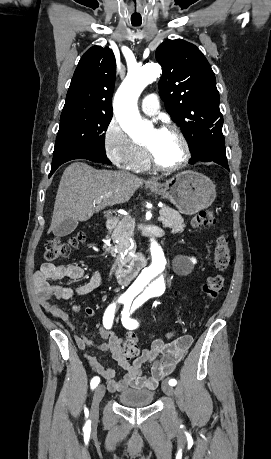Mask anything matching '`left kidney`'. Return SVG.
<instances>
[{
  "instance_id": "obj_1",
  "label": "left kidney",
  "mask_w": 271,
  "mask_h": 459,
  "mask_svg": "<svg viewBox=\"0 0 271 459\" xmlns=\"http://www.w3.org/2000/svg\"><path fill=\"white\" fill-rule=\"evenodd\" d=\"M188 261H189L191 267H193L194 263H196L195 257H188Z\"/></svg>"
}]
</instances>
